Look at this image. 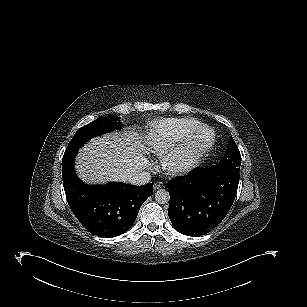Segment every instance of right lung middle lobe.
Instances as JSON below:
<instances>
[{
    "label": "right lung middle lobe",
    "instance_id": "right-lung-middle-lobe-1",
    "mask_svg": "<svg viewBox=\"0 0 307 307\" xmlns=\"http://www.w3.org/2000/svg\"><path fill=\"white\" fill-rule=\"evenodd\" d=\"M118 119L119 117H101L81 127L71 139L65 152L78 150L91 138L121 128L122 123L118 122Z\"/></svg>",
    "mask_w": 307,
    "mask_h": 307
}]
</instances>
